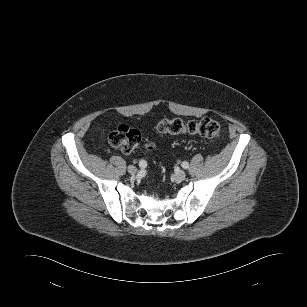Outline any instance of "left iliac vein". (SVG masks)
<instances>
[{"label":"left iliac vein","instance_id":"obj_1","mask_svg":"<svg viewBox=\"0 0 307 307\" xmlns=\"http://www.w3.org/2000/svg\"><path fill=\"white\" fill-rule=\"evenodd\" d=\"M174 178H175L176 181L181 182V181L185 180L186 173L183 170H178V171L175 172Z\"/></svg>","mask_w":307,"mask_h":307}]
</instances>
